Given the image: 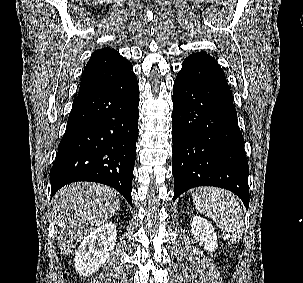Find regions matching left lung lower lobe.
Here are the masks:
<instances>
[{"mask_svg": "<svg viewBox=\"0 0 303 283\" xmlns=\"http://www.w3.org/2000/svg\"><path fill=\"white\" fill-rule=\"evenodd\" d=\"M174 200L188 189L216 186L249 206V167L225 75L205 52L188 56L173 87Z\"/></svg>", "mask_w": 303, "mask_h": 283, "instance_id": "obj_1", "label": "left lung lower lobe"}]
</instances>
